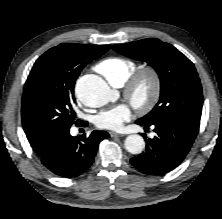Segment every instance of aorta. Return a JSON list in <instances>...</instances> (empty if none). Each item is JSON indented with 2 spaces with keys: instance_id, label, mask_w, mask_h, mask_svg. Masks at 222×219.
I'll return each mask as SVG.
<instances>
[{
  "instance_id": "1",
  "label": "aorta",
  "mask_w": 222,
  "mask_h": 219,
  "mask_svg": "<svg viewBox=\"0 0 222 219\" xmlns=\"http://www.w3.org/2000/svg\"><path fill=\"white\" fill-rule=\"evenodd\" d=\"M78 99L86 106L97 108L107 104L111 99V90L107 83L97 75H85L78 79L75 87ZM125 148L131 154H140L145 142L138 134L125 139Z\"/></svg>"
}]
</instances>
